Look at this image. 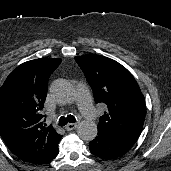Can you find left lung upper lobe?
Segmentation results:
<instances>
[{
    "instance_id": "5c2ea615",
    "label": "left lung upper lobe",
    "mask_w": 171,
    "mask_h": 171,
    "mask_svg": "<svg viewBox=\"0 0 171 171\" xmlns=\"http://www.w3.org/2000/svg\"><path fill=\"white\" fill-rule=\"evenodd\" d=\"M96 103L107 111L100 117L98 133L131 148L145 119L144 96L132 74L118 62L95 54L76 56Z\"/></svg>"
}]
</instances>
